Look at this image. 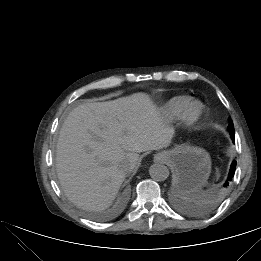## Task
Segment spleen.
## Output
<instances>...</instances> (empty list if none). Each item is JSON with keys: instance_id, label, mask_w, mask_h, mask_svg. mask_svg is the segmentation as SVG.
<instances>
[{"instance_id": "obj_1", "label": "spleen", "mask_w": 261, "mask_h": 261, "mask_svg": "<svg viewBox=\"0 0 261 261\" xmlns=\"http://www.w3.org/2000/svg\"><path fill=\"white\" fill-rule=\"evenodd\" d=\"M184 197H194V195H189V193H183Z\"/></svg>"}]
</instances>
